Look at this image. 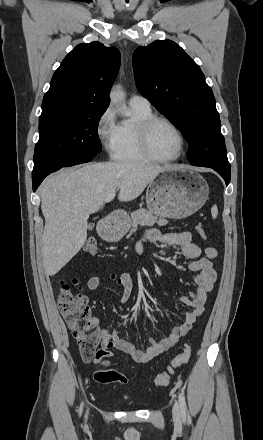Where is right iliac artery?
I'll use <instances>...</instances> for the list:
<instances>
[{
    "mask_svg": "<svg viewBox=\"0 0 263 440\" xmlns=\"http://www.w3.org/2000/svg\"><path fill=\"white\" fill-rule=\"evenodd\" d=\"M82 408H83V403H81V405H80V410H79V414L81 415V412H82Z\"/></svg>",
    "mask_w": 263,
    "mask_h": 440,
    "instance_id": "1",
    "label": "right iliac artery"
}]
</instances>
